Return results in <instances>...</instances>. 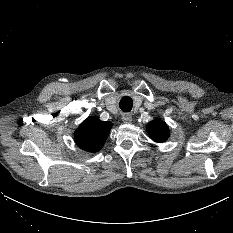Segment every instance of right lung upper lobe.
Wrapping results in <instances>:
<instances>
[{"instance_id":"right-lung-upper-lobe-1","label":"right lung upper lobe","mask_w":233,"mask_h":233,"mask_svg":"<svg viewBox=\"0 0 233 233\" xmlns=\"http://www.w3.org/2000/svg\"><path fill=\"white\" fill-rule=\"evenodd\" d=\"M111 127L110 122L88 117L75 131V142L85 151L97 152L103 147Z\"/></svg>"}]
</instances>
